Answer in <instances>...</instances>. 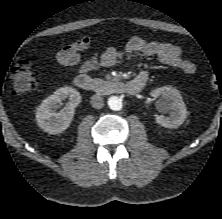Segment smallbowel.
I'll return each mask as SVG.
<instances>
[{
    "label": "small bowel",
    "mask_w": 222,
    "mask_h": 219,
    "mask_svg": "<svg viewBox=\"0 0 222 219\" xmlns=\"http://www.w3.org/2000/svg\"><path fill=\"white\" fill-rule=\"evenodd\" d=\"M91 45V37L84 35L75 42L59 50L55 56V62L62 68H74L78 73L84 74L100 67H112L122 59L132 60L133 56L155 58L160 63L176 68L185 74H193L196 71L195 64L182 56L181 50L165 41H150L133 36L127 42L125 51L115 47H108L103 52L94 54L84 59L81 52L87 50ZM132 82L144 85L146 77L137 75Z\"/></svg>",
    "instance_id": "1"
}]
</instances>
